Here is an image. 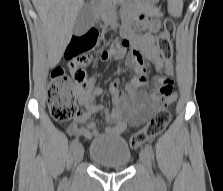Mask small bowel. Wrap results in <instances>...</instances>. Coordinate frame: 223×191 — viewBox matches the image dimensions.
<instances>
[{
    "mask_svg": "<svg viewBox=\"0 0 223 191\" xmlns=\"http://www.w3.org/2000/svg\"><path fill=\"white\" fill-rule=\"evenodd\" d=\"M144 9L147 15L140 17L142 33H135L127 23H124L121 29L122 36L129 42V47L132 46L131 55L126 64L135 73V77L126 86L127 94L121 90L119 80L111 81L108 90L112 97L113 108L109 110L96 103V97L104 93L103 88L76 91L78 102L83 109L69 124L67 131L70 135L92 139L102 134H120L127 124L139 126L155 109L176 100L177 95L173 90L171 79L164 78L163 75L154 78L156 89H151L149 93L141 91L150 88L148 82L140 83L139 80L143 73V59L152 61L158 73H163L162 63L165 62L156 46L157 33L161 28V12L151 3L146 4ZM109 58V53H102V60ZM169 74L171 76L173 73ZM95 113H101L109 124L104 130L98 128L97 122L88 121L89 117Z\"/></svg>",
    "mask_w": 223,
    "mask_h": 191,
    "instance_id": "1",
    "label": "small bowel"
}]
</instances>
